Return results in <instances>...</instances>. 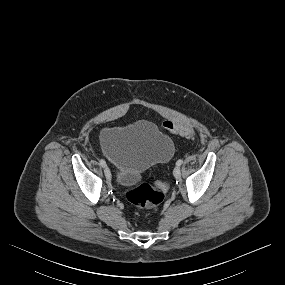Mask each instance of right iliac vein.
<instances>
[{
    "mask_svg": "<svg viewBox=\"0 0 285 285\" xmlns=\"http://www.w3.org/2000/svg\"><path fill=\"white\" fill-rule=\"evenodd\" d=\"M104 173H105V176H106L107 179L111 178V172H110L108 167H105Z\"/></svg>",
    "mask_w": 285,
    "mask_h": 285,
    "instance_id": "63e3f726",
    "label": "right iliac vein"
}]
</instances>
